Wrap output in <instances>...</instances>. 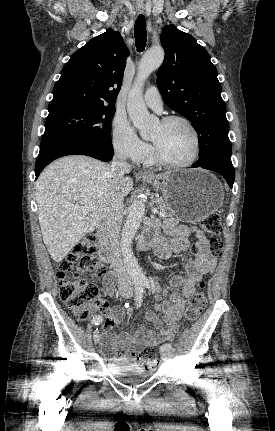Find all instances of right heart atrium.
<instances>
[{
	"label": "right heart atrium",
	"instance_id": "obj_1",
	"mask_svg": "<svg viewBox=\"0 0 275 431\" xmlns=\"http://www.w3.org/2000/svg\"><path fill=\"white\" fill-rule=\"evenodd\" d=\"M112 145L123 158L134 162L143 160L149 147L136 135L133 127L122 115H116L112 122Z\"/></svg>",
	"mask_w": 275,
	"mask_h": 431
}]
</instances>
